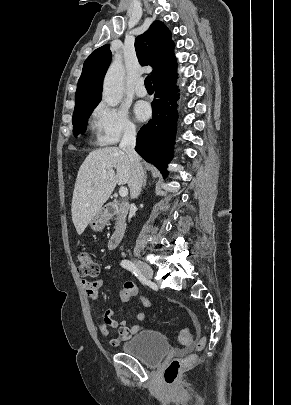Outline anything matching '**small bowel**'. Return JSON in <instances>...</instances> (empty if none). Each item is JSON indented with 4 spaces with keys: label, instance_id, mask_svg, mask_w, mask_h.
Segmentation results:
<instances>
[{
    "label": "small bowel",
    "instance_id": "1",
    "mask_svg": "<svg viewBox=\"0 0 291 405\" xmlns=\"http://www.w3.org/2000/svg\"><path fill=\"white\" fill-rule=\"evenodd\" d=\"M82 285L85 289L86 296L89 299L96 300L98 297L99 289L104 285V279L101 278L94 281L83 279ZM189 316L193 321L195 327L199 328V323L195 314L189 311ZM137 319L138 321H143L145 319V314L143 312H139L137 314ZM109 328L117 329L118 335L111 337ZM99 329L106 338H109V343L112 346H118L121 342L128 340L134 334L138 333L141 327L139 324L133 325L132 327H128L127 322L125 320L117 321L115 319L114 311L108 309L99 318Z\"/></svg>",
    "mask_w": 291,
    "mask_h": 405
}]
</instances>
